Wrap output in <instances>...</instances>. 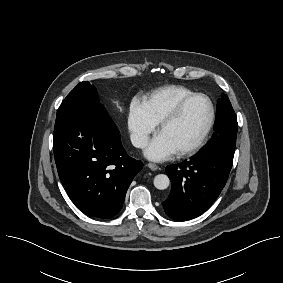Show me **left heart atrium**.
Here are the masks:
<instances>
[{"label":"left heart atrium","instance_id":"39dd6f15","mask_svg":"<svg viewBox=\"0 0 283 283\" xmlns=\"http://www.w3.org/2000/svg\"><path fill=\"white\" fill-rule=\"evenodd\" d=\"M177 153L173 145L161 134L153 138L144 150L145 156L153 161H165Z\"/></svg>","mask_w":283,"mask_h":283}]
</instances>
